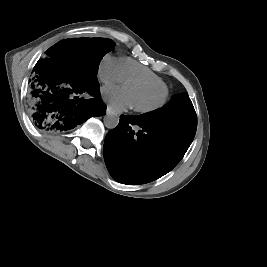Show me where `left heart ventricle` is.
I'll list each match as a JSON object with an SVG mask.
<instances>
[{"instance_id":"b2bd125f","label":"left heart ventricle","mask_w":267,"mask_h":267,"mask_svg":"<svg viewBox=\"0 0 267 267\" xmlns=\"http://www.w3.org/2000/svg\"><path fill=\"white\" fill-rule=\"evenodd\" d=\"M126 88L129 90L133 105L135 106H149L156 103L162 94L160 89L154 88L146 83L129 82L126 83Z\"/></svg>"}]
</instances>
